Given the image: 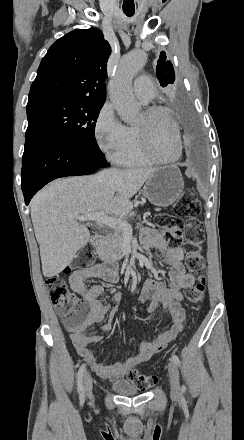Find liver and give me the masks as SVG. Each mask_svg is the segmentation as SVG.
I'll use <instances>...</instances> for the list:
<instances>
[{
  "instance_id": "1",
  "label": "liver",
  "mask_w": 244,
  "mask_h": 440,
  "mask_svg": "<svg viewBox=\"0 0 244 440\" xmlns=\"http://www.w3.org/2000/svg\"><path fill=\"white\" fill-rule=\"evenodd\" d=\"M155 170L109 168L95 176L59 178L38 192L30 212L43 276H58L89 242L88 228L76 220L79 214L104 212L107 216H128L133 210L130 198Z\"/></svg>"
}]
</instances>
